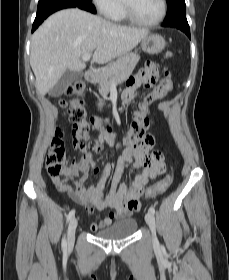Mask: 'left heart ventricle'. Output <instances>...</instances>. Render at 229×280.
Masks as SVG:
<instances>
[{"mask_svg":"<svg viewBox=\"0 0 229 280\" xmlns=\"http://www.w3.org/2000/svg\"><path fill=\"white\" fill-rule=\"evenodd\" d=\"M134 15L144 21H150L161 13V0H130Z\"/></svg>","mask_w":229,"mask_h":280,"instance_id":"1","label":"left heart ventricle"}]
</instances>
